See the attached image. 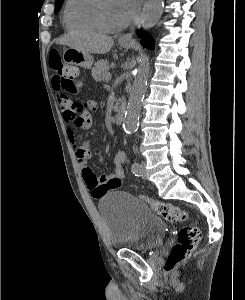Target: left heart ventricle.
Listing matches in <instances>:
<instances>
[{
	"mask_svg": "<svg viewBox=\"0 0 245 300\" xmlns=\"http://www.w3.org/2000/svg\"><path fill=\"white\" fill-rule=\"evenodd\" d=\"M101 13L105 23L109 26L120 25L130 18L122 0H103Z\"/></svg>",
	"mask_w": 245,
	"mask_h": 300,
	"instance_id": "b2bd125f",
	"label": "left heart ventricle"
}]
</instances>
